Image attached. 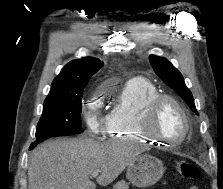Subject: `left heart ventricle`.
<instances>
[{"mask_svg":"<svg viewBox=\"0 0 223 189\" xmlns=\"http://www.w3.org/2000/svg\"><path fill=\"white\" fill-rule=\"evenodd\" d=\"M184 128L185 122L178 108L170 102H164L156 117V132L168 141L173 142L183 136Z\"/></svg>","mask_w":223,"mask_h":189,"instance_id":"b2bd125f","label":"left heart ventricle"}]
</instances>
